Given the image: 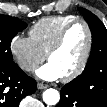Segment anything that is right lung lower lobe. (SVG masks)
Instances as JSON below:
<instances>
[{
  "instance_id": "1",
  "label": "right lung lower lobe",
  "mask_w": 107,
  "mask_h": 107,
  "mask_svg": "<svg viewBox=\"0 0 107 107\" xmlns=\"http://www.w3.org/2000/svg\"><path fill=\"white\" fill-rule=\"evenodd\" d=\"M36 81L17 64L0 66V107H18L23 97L33 94Z\"/></svg>"
}]
</instances>
